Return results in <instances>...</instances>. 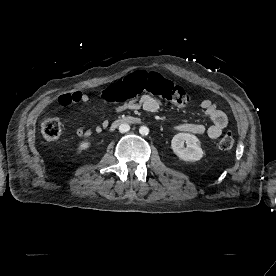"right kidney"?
<instances>
[{
  "label": "right kidney",
  "mask_w": 276,
  "mask_h": 276,
  "mask_svg": "<svg viewBox=\"0 0 276 276\" xmlns=\"http://www.w3.org/2000/svg\"><path fill=\"white\" fill-rule=\"evenodd\" d=\"M90 146V142L89 141H82L80 144H79V149L80 150H84V149H87L88 147Z\"/></svg>",
  "instance_id": "1"
}]
</instances>
